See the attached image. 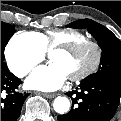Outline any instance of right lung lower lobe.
Here are the masks:
<instances>
[{
  "mask_svg": "<svg viewBox=\"0 0 121 121\" xmlns=\"http://www.w3.org/2000/svg\"><path fill=\"white\" fill-rule=\"evenodd\" d=\"M21 80L9 72L6 63H1V121H16L28 94L16 91Z\"/></svg>",
  "mask_w": 121,
  "mask_h": 121,
  "instance_id": "obj_1",
  "label": "right lung lower lobe"
}]
</instances>
